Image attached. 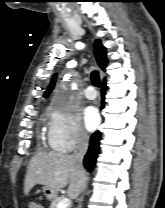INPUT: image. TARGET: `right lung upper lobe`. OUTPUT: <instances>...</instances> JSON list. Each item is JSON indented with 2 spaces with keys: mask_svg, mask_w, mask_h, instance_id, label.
<instances>
[{
  "mask_svg": "<svg viewBox=\"0 0 165 208\" xmlns=\"http://www.w3.org/2000/svg\"><path fill=\"white\" fill-rule=\"evenodd\" d=\"M94 53H95V57H96L98 65L102 69H105L107 65L106 51H105L104 46L101 44L100 40H96L95 42ZM55 79H56V75L52 78V81L50 85L48 86L47 91L45 92V97H47L51 93V91L54 89Z\"/></svg>",
  "mask_w": 165,
  "mask_h": 208,
  "instance_id": "1",
  "label": "right lung upper lobe"
}]
</instances>
